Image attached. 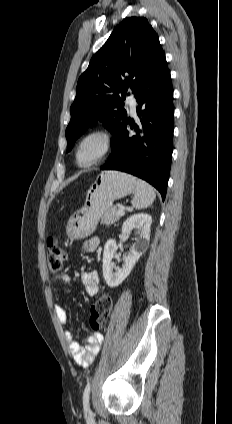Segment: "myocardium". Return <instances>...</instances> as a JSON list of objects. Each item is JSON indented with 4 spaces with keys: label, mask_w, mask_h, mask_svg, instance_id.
<instances>
[{
    "label": "myocardium",
    "mask_w": 232,
    "mask_h": 424,
    "mask_svg": "<svg viewBox=\"0 0 232 424\" xmlns=\"http://www.w3.org/2000/svg\"><path fill=\"white\" fill-rule=\"evenodd\" d=\"M99 137L102 141V147L99 153L90 160H83L81 158V147L83 143L91 138ZM113 148V136L109 130L106 128L98 127L91 129L84 133L79 140L77 141L74 149V159L76 164L81 168H87L102 162L112 151Z\"/></svg>",
    "instance_id": "f54148a6"
}]
</instances>
